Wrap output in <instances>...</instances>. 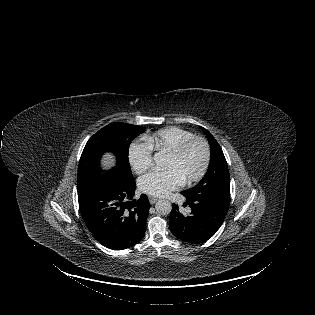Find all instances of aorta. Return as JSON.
Returning a JSON list of instances; mask_svg holds the SVG:
<instances>
[{"label":"aorta","mask_w":315,"mask_h":315,"mask_svg":"<svg viewBox=\"0 0 315 315\" xmlns=\"http://www.w3.org/2000/svg\"><path fill=\"white\" fill-rule=\"evenodd\" d=\"M160 153H156L154 155V160L156 163L159 162L160 160ZM155 208H156V211L161 214V215H167L171 212L172 210V205L170 203V201L168 200H165V199H161V200H158L155 204Z\"/></svg>","instance_id":"762f6f07"}]
</instances>
